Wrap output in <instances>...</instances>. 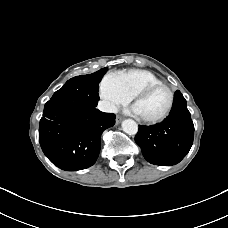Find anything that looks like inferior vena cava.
Instances as JSON below:
<instances>
[{
  "label": "inferior vena cava",
  "instance_id": "inferior-vena-cava-1",
  "mask_svg": "<svg viewBox=\"0 0 228 228\" xmlns=\"http://www.w3.org/2000/svg\"><path fill=\"white\" fill-rule=\"evenodd\" d=\"M98 109L102 112L117 113V107L115 104L108 101H100L98 103Z\"/></svg>",
  "mask_w": 228,
  "mask_h": 228
}]
</instances>
